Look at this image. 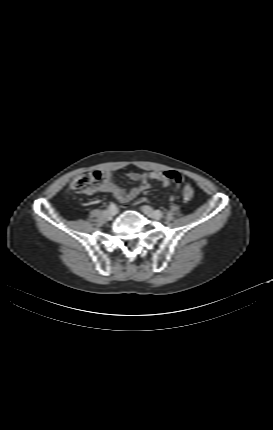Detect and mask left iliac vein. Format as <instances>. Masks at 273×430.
Listing matches in <instances>:
<instances>
[{
    "label": "left iliac vein",
    "instance_id": "4c4485c4",
    "mask_svg": "<svg viewBox=\"0 0 273 430\" xmlns=\"http://www.w3.org/2000/svg\"><path fill=\"white\" fill-rule=\"evenodd\" d=\"M142 212L152 219L159 220L161 216L157 214V211H154L150 206L144 205L142 206Z\"/></svg>",
    "mask_w": 273,
    "mask_h": 430
}]
</instances>
